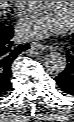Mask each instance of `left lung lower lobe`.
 <instances>
[{"label": "left lung lower lobe", "instance_id": "left-lung-lower-lobe-1", "mask_svg": "<svg viewBox=\"0 0 74 122\" xmlns=\"http://www.w3.org/2000/svg\"><path fill=\"white\" fill-rule=\"evenodd\" d=\"M72 37L74 41V33ZM66 58V69L56 77V82L63 93L74 95V46L66 53Z\"/></svg>", "mask_w": 74, "mask_h": 122}]
</instances>
